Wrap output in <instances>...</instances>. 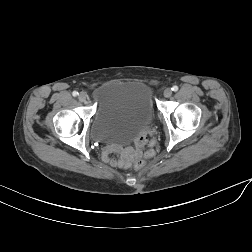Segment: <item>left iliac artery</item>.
<instances>
[{"mask_svg":"<svg viewBox=\"0 0 252 252\" xmlns=\"http://www.w3.org/2000/svg\"><path fill=\"white\" fill-rule=\"evenodd\" d=\"M171 89H172V91L176 92V91H178V86L174 85Z\"/></svg>","mask_w":252,"mask_h":252,"instance_id":"1","label":"left iliac artery"}]
</instances>
